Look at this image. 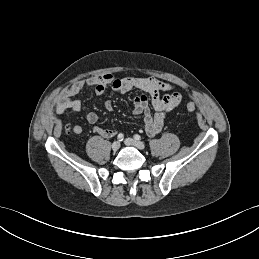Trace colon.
<instances>
[{
    "mask_svg": "<svg viewBox=\"0 0 259 259\" xmlns=\"http://www.w3.org/2000/svg\"><path fill=\"white\" fill-rule=\"evenodd\" d=\"M196 109V105L193 102H189L186 104V110L188 112H193Z\"/></svg>",
    "mask_w": 259,
    "mask_h": 259,
    "instance_id": "5ec220e1",
    "label": "colon"
}]
</instances>
